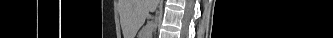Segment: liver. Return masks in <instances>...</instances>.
<instances>
[{"label":"liver","mask_w":333,"mask_h":38,"mask_svg":"<svg viewBox=\"0 0 333 38\" xmlns=\"http://www.w3.org/2000/svg\"><path fill=\"white\" fill-rule=\"evenodd\" d=\"M157 4L158 0H136L135 2L125 0L121 3V11L133 9L135 25L138 29L144 23L149 11H154L156 9Z\"/></svg>","instance_id":"obj_1"}]
</instances>
